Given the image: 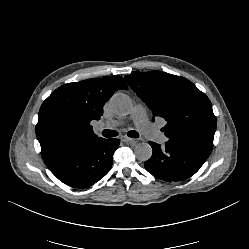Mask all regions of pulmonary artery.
Here are the masks:
<instances>
[{
	"label": "pulmonary artery",
	"instance_id": "1",
	"mask_svg": "<svg viewBox=\"0 0 249 249\" xmlns=\"http://www.w3.org/2000/svg\"><path fill=\"white\" fill-rule=\"evenodd\" d=\"M129 119L133 121L136 127L140 130H144L148 128L150 131H156L155 125L149 122L147 117V112L145 107L142 104H136L129 116ZM124 123L123 120H108L102 123H99L95 130L97 132L102 131L104 129H114ZM161 142L165 141V137L163 134L159 135Z\"/></svg>",
	"mask_w": 249,
	"mask_h": 249
}]
</instances>
